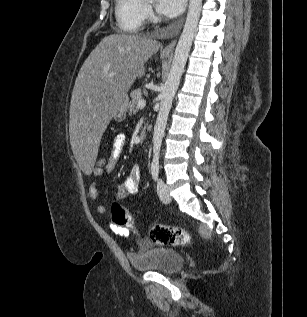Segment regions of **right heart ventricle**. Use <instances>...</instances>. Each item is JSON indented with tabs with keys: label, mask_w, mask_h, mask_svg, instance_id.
Segmentation results:
<instances>
[{
	"label": "right heart ventricle",
	"mask_w": 307,
	"mask_h": 317,
	"mask_svg": "<svg viewBox=\"0 0 307 317\" xmlns=\"http://www.w3.org/2000/svg\"><path fill=\"white\" fill-rule=\"evenodd\" d=\"M145 0H116L115 17L119 28L129 33L139 32L146 17Z\"/></svg>",
	"instance_id": "1"
}]
</instances>
